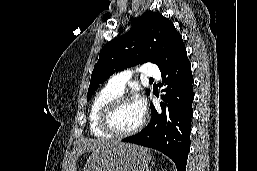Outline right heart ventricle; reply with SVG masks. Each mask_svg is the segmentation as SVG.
<instances>
[{
    "label": "right heart ventricle",
    "mask_w": 257,
    "mask_h": 171,
    "mask_svg": "<svg viewBox=\"0 0 257 171\" xmlns=\"http://www.w3.org/2000/svg\"><path fill=\"white\" fill-rule=\"evenodd\" d=\"M121 94L113 91L108 86H105L94 96L88 113V125L90 134L98 138H109V134L104 132L100 127V115L104 106L114 98Z\"/></svg>",
    "instance_id": "obj_1"
}]
</instances>
